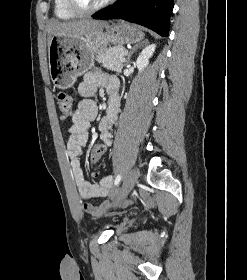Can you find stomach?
I'll list each match as a JSON object with an SVG mask.
<instances>
[{
	"label": "stomach",
	"instance_id": "stomach-1",
	"mask_svg": "<svg viewBox=\"0 0 247 280\" xmlns=\"http://www.w3.org/2000/svg\"><path fill=\"white\" fill-rule=\"evenodd\" d=\"M105 28V30H104ZM86 36H53L49 45V70L54 85L70 88L77 77L93 65L95 55L109 44L124 45L140 42L144 33L135 25L119 21Z\"/></svg>",
	"mask_w": 247,
	"mask_h": 280
}]
</instances>
